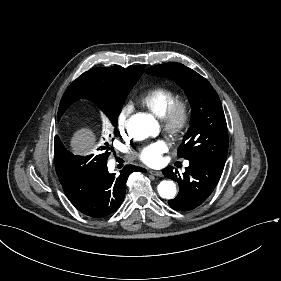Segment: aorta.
Returning a JSON list of instances; mask_svg holds the SVG:
<instances>
[{"label": "aorta", "instance_id": "1", "mask_svg": "<svg viewBox=\"0 0 281 281\" xmlns=\"http://www.w3.org/2000/svg\"><path fill=\"white\" fill-rule=\"evenodd\" d=\"M128 131L137 140H144L157 134L159 125L151 115L136 114L129 119ZM158 193L162 198L173 199L176 195V185L173 181L164 180L158 185Z\"/></svg>", "mask_w": 281, "mask_h": 281}]
</instances>
